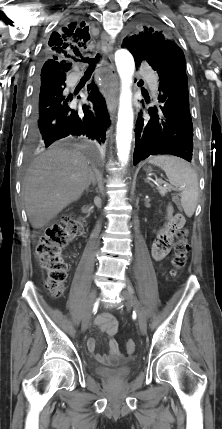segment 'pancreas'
I'll return each mask as SVG.
<instances>
[{
    "instance_id": "pancreas-1",
    "label": "pancreas",
    "mask_w": 222,
    "mask_h": 429,
    "mask_svg": "<svg viewBox=\"0 0 222 429\" xmlns=\"http://www.w3.org/2000/svg\"><path fill=\"white\" fill-rule=\"evenodd\" d=\"M157 189L162 196H165L170 191V187H164L160 185L157 186Z\"/></svg>"
}]
</instances>
